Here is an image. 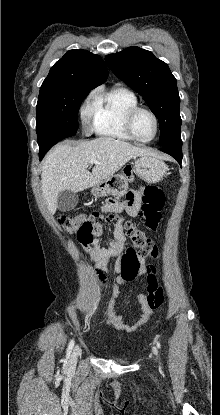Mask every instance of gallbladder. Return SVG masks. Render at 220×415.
Segmentation results:
<instances>
[{
  "label": "gallbladder",
  "instance_id": "bac80fb5",
  "mask_svg": "<svg viewBox=\"0 0 220 415\" xmlns=\"http://www.w3.org/2000/svg\"><path fill=\"white\" fill-rule=\"evenodd\" d=\"M78 195L72 191H62L57 196V208L66 212L72 210L78 203Z\"/></svg>",
  "mask_w": 220,
  "mask_h": 415
}]
</instances>
